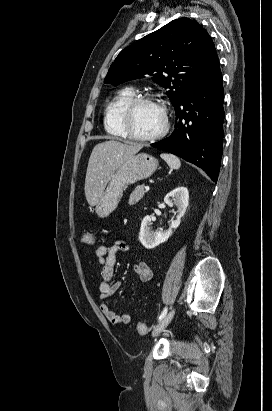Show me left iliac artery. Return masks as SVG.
I'll list each match as a JSON object with an SVG mask.
<instances>
[{"mask_svg":"<svg viewBox=\"0 0 272 411\" xmlns=\"http://www.w3.org/2000/svg\"><path fill=\"white\" fill-rule=\"evenodd\" d=\"M167 311H168V308L165 307V308L163 309V311L161 312L160 316H159V319H158L159 321H161V320L166 316Z\"/></svg>","mask_w":272,"mask_h":411,"instance_id":"obj_1","label":"left iliac artery"}]
</instances>
